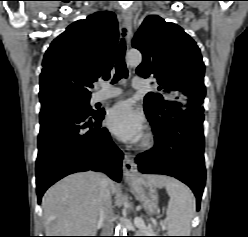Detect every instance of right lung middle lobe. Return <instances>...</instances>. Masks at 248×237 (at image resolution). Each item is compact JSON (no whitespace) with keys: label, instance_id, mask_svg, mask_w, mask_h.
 <instances>
[{"label":"right lung middle lobe","instance_id":"obj_1","mask_svg":"<svg viewBox=\"0 0 248 237\" xmlns=\"http://www.w3.org/2000/svg\"><path fill=\"white\" fill-rule=\"evenodd\" d=\"M89 101L90 99L75 100L70 98H61L42 105L41 110L69 109L80 113L91 114L94 113L95 111L90 108Z\"/></svg>","mask_w":248,"mask_h":237}]
</instances>
